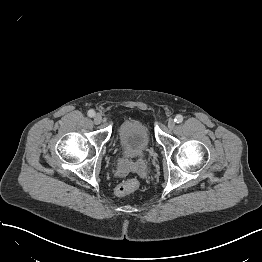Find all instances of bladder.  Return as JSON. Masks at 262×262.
<instances>
[{
  "label": "bladder",
  "mask_w": 262,
  "mask_h": 262,
  "mask_svg": "<svg viewBox=\"0 0 262 262\" xmlns=\"http://www.w3.org/2000/svg\"><path fill=\"white\" fill-rule=\"evenodd\" d=\"M120 143L128 156L145 152L151 145V136L140 120L127 119L120 127Z\"/></svg>",
  "instance_id": "1"
}]
</instances>
